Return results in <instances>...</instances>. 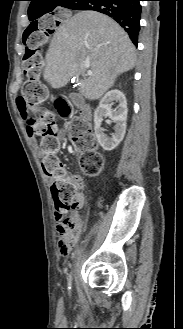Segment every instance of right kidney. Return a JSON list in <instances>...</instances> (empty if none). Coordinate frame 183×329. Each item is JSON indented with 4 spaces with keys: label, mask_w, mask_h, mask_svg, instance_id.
I'll list each match as a JSON object with an SVG mask.
<instances>
[{
    "label": "right kidney",
    "mask_w": 183,
    "mask_h": 329,
    "mask_svg": "<svg viewBox=\"0 0 183 329\" xmlns=\"http://www.w3.org/2000/svg\"><path fill=\"white\" fill-rule=\"evenodd\" d=\"M114 102L118 103L117 108L112 109ZM127 101L125 95L117 90L107 92L101 99L98 108L94 113V130L97 142L106 151L115 149L123 140L126 132ZM109 116L115 122V133L108 137L101 127L102 118Z\"/></svg>",
    "instance_id": "right-kidney-1"
}]
</instances>
